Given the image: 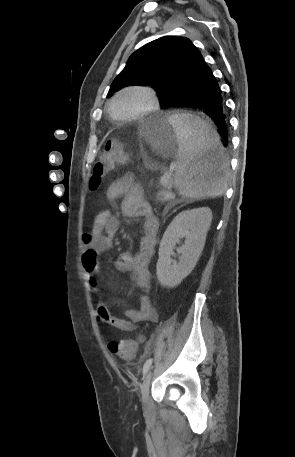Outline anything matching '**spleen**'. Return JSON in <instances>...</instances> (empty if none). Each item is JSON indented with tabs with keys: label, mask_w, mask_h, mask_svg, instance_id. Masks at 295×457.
<instances>
[{
	"label": "spleen",
	"mask_w": 295,
	"mask_h": 457,
	"mask_svg": "<svg viewBox=\"0 0 295 457\" xmlns=\"http://www.w3.org/2000/svg\"><path fill=\"white\" fill-rule=\"evenodd\" d=\"M169 121L178 141L174 181L179 194L191 199L221 196L227 188L228 163L218 133L190 113L173 114Z\"/></svg>",
	"instance_id": "obj_1"
}]
</instances>
